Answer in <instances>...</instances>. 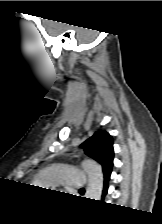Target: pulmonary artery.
I'll list each match as a JSON object with an SVG mask.
<instances>
[{
    "label": "pulmonary artery",
    "instance_id": "1",
    "mask_svg": "<svg viewBox=\"0 0 162 224\" xmlns=\"http://www.w3.org/2000/svg\"><path fill=\"white\" fill-rule=\"evenodd\" d=\"M38 181L48 186H67L79 189L86 183V174L72 166H62L46 169L39 175Z\"/></svg>",
    "mask_w": 162,
    "mask_h": 224
}]
</instances>
